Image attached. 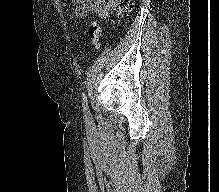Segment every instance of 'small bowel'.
Masks as SVG:
<instances>
[{"label": "small bowel", "instance_id": "c3829d8e", "mask_svg": "<svg viewBox=\"0 0 219 192\" xmlns=\"http://www.w3.org/2000/svg\"><path fill=\"white\" fill-rule=\"evenodd\" d=\"M76 5L75 14L80 18H89L93 13L105 19L114 11L120 0H72Z\"/></svg>", "mask_w": 219, "mask_h": 192}]
</instances>
